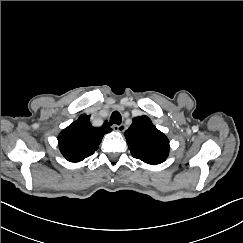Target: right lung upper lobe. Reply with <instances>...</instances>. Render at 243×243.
<instances>
[{"label":"right lung upper lobe","instance_id":"cb5924a9","mask_svg":"<svg viewBox=\"0 0 243 243\" xmlns=\"http://www.w3.org/2000/svg\"><path fill=\"white\" fill-rule=\"evenodd\" d=\"M89 118L85 114L81 115L58 136L59 149L70 162H79L92 155L98 149L104 134L111 131L107 121L97 128L91 125Z\"/></svg>","mask_w":243,"mask_h":243}]
</instances>
